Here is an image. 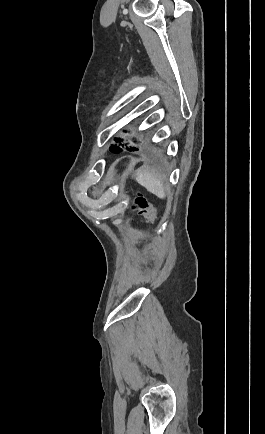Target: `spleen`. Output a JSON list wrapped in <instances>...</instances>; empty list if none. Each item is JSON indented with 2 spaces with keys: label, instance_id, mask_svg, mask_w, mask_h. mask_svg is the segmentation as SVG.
<instances>
[{
  "label": "spleen",
  "instance_id": "spleen-1",
  "mask_svg": "<svg viewBox=\"0 0 265 434\" xmlns=\"http://www.w3.org/2000/svg\"><path fill=\"white\" fill-rule=\"evenodd\" d=\"M134 178L138 184L144 186V188H146L148 192H151V194H155L157 198H165L164 186L154 172H149V170H138V172L134 174Z\"/></svg>",
  "mask_w": 265,
  "mask_h": 434
}]
</instances>
